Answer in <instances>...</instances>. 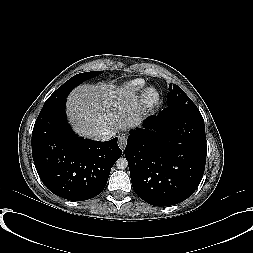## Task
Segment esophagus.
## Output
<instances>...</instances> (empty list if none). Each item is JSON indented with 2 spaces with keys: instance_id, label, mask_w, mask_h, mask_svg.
Here are the masks:
<instances>
[{
  "instance_id": "1",
  "label": "esophagus",
  "mask_w": 253,
  "mask_h": 253,
  "mask_svg": "<svg viewBox=\"0 0 253 253\" xmlns=\"http://www.w3.org/2000/svg\"><path fill=\"white\" fill-rule=\"evenodd\" d=\"M127 138L125 135H121L118 139V145L123 150L126 146Z\"/></svg>"
}]
</instances>
